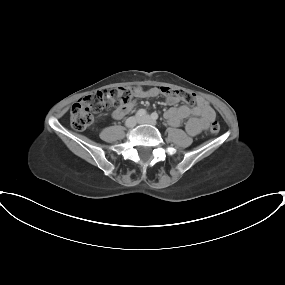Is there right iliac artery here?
I'll use <instances>...</instances> for the list:
<instances>
[{
	"label": "right iliac artery",
	"mask_w": 285,
	"mask_h": 285,
	"mask_svg": "<svg viewBox=\"0 0 285 285\" xmlns=\"http://www.w3.org/2000/svg\"><path fill=\"white\" fill-rule=\"evenodd\" d=\"M146 113H147V112H146L145 109H139V110L137 111L136 115H137L138 117H142V116H145Z\"/></svg>",
	"instance_id": "1"
}]
</instances>
